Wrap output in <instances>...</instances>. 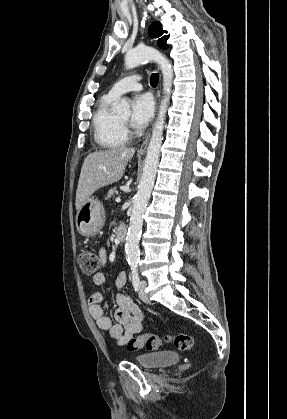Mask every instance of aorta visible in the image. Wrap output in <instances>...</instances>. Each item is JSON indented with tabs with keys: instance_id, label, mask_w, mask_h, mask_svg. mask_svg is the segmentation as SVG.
<instances>
[{
	"instance_id": "aorta-1",
	"label": "aorta",
	"mask_w": 287,
	"mask_h": 419,
	"mask_svg": "<svg viewBox=\"0 0 287 419\" xmlns=\"http://www.w3.org/2000/svg\"><path fill=\"white\" fill-rule=\"evenodd\" d=\"M143 61L158 63L163 76L164 96L159 106L157 120L152 130V136L147 148L143 173L138 186V191L133 200L130 224L126 237L125 253L127 262L132 270H136L139 263V241L142 232L143 217L154 186L159 164L160 148L163 140L165 117L173 82V69L170 61L159 51L151 47H136L127 51L124 62L127 69L137 67ZM120 113L129 114L127 101L122 100L116 107Z\"/></svg>"
}]
</instances>
